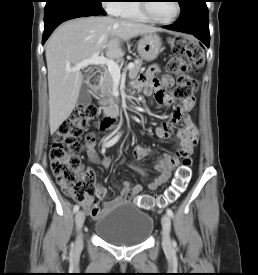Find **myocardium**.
I'll use <instances>...</instances> for the list:
<instances>
[{
	"label": "myocardium",
	"mask_w": 258,
	"mask_h": 275,
	"mask_svg": "<svg viewBox=\"0 0 258 275\" xmlns=\"http://www.w3.org/2000/svg\"><path fill=\"white\" fill-rule=\"evenodd\" d=\"M141 2H146V1H141ZM175 4H176V13L174 15V17H172L169 20H160L155 18L149 9V4L148 3H140V9L143 12V14L152 22L157 23V24H171L174 21H176L178 19V17L181 14V5L179 3L178 0H175Z\"/></svg>",
	"instance_id": "1"
}]
</instances>
